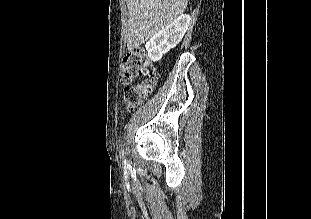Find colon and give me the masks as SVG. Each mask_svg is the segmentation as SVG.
I'll list each match as a JSON object with an SVG mask.
<instances>
[{
	"label": "colon",
	"instance_id": "colon-1",
	"mask_svg": "<svg viewBox=\"0 0 311 219\" xmlns=\"http://www.w3.org/2000/svg\"><path fill=\"white\" fill-rule=\"evenodd\" d=\"M144 77L142 81L130 85L138 78ZM157 73L150 67L149 60L143 48L130 52L121 64V80L126 84L124 88V100L127 107L133 109L152 91L156 81Z\"/></svg>",
	"mask_w": 311,
	"mask_h": 219
}]
</instances>
